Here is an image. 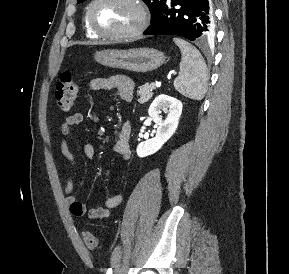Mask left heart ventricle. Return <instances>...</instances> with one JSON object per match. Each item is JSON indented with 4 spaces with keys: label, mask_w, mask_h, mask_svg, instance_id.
Returning a JSON list of instances; mask_svg holds the SVG:
<instances>
[{
    "label": "left heart ventricle",
    "mask_w": 289,
    "mask_h": 274,
    "mask_svg": "<svg viewBox=\"0 0 289 274\" xmlns=\"http://www.w3.org/2000/svg\"><path fill=\"white\" fill-rule=\"evenodd\" d=\"M92 19L100 30L119 33L137 24L138 11L128 0H101L93 7Z\"/></svg>",
    "instance_id": "left-heart-ventricle-1"
}]
</instances>
